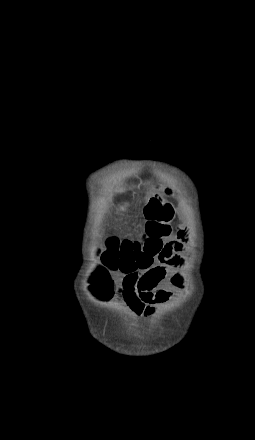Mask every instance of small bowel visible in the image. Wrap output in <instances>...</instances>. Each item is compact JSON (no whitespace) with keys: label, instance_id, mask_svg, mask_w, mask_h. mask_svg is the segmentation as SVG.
Returning a JSON list of instances; mask_svg holds the SVG:
<instances>
[{"label":"small bowel","instance_id":"1","mask_svg":"<svg viewBox=\"0 0 255 440\" xmlns=\"http://www.w3.org/2000/svg\"><path fill=\"white\" fill-rule=\"evenodd\" d=\"M187 237L185 229L179 230L176 239L166 244L165 255L159 259V265L140 272L126 273L116 290L109 283L105 299L115 297L138 316L152 315L157 305L166 304L174 294L173 289L159 288L168 275L174 289L184 286L183 276L171 269L182 267V253L186 250Z\"/></svg>","mask_w":255,"mask_h":440}]
</instances>
